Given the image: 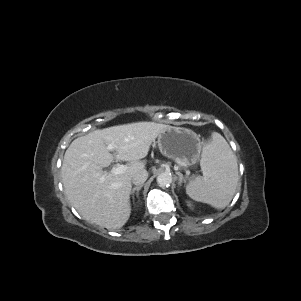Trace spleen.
<instances>
[{
	"label": "spleen",
	"mask_w": 301,
	"mask_h": 301,
	"mask_svg": "<svg viewBox=\"0 0 301 301\" xmlns=\"http://www.w3.org/2000/svg\"><path fill=\"white\" fill-rule=\"evenodd\" d=\"M200 166L203 176L189 182L187 195L214 208H225L235 194L239 177L236 157L220 134L214 133L212 141L204 145Z\"/></svg>",
	"instance_id": "spleen-1"
}]
</instances>
